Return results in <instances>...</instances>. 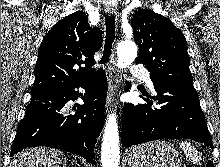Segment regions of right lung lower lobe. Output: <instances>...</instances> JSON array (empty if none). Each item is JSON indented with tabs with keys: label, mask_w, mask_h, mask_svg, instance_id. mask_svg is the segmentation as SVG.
<instances>
[{
	"label": "right lung lower lobe",
	"mask_w": 220,
	"mask_h": 167,
	"mask_svg": "<svg viewBox=\"0 0 220 167\" xmlns=\"http://www.w3.org/2000/svg\"><path fill=\"white\" fill-rule=\"evenodd\" d=\"M79 87L86 90L84 104L73 107L76 114L72 115L67 103L78 98L75 88ZM106 94L107 79L102 70L65 88L32 94L10 155L42 145L80 155L93 163L96 139L103 129Z\"/></svg>",
	"instance_id": "right-lung-lower-lobe-1"
}]
</instances>
